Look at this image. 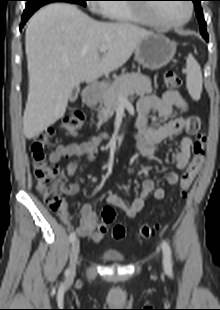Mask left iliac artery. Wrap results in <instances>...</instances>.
I'll use <instances>...</instances> for the list:
<instances>
[{
  "instance_id": "left-iliac-artery-1",
  "label": "left iliac artery",
  "mask_w": 220,
  "mask_h": 310,
  "mask_svg": "<svg viewBox=\"0 0 220 310\" xmlns=\"http://www.w3.org/2000/svg\"><path fill=\"white\" fill-rule=\"evenodd\" d=\"M162 249H163V254H164V260H163L164 267L167 271H171V269H172V254H171L170 246L166 240H163V242H162Z\"/></svg>"
}]
</instances>
